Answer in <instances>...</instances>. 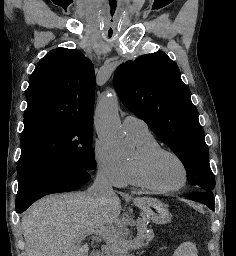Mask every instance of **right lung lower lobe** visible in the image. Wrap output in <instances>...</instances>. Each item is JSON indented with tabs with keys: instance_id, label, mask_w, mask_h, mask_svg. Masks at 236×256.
Here are the masks:
<instances>
[{
	"instance_id": "98d812e1",
	"label": "right lung lower lobe",
	"mask_w": 236,
	"mask_h": 256,
	"mask_svg": "<svg viewBox=\"0 0 236 256\" xmlns=\"http://www.w3.org/2000/svg\"><path fill=\"white\" fill-rule=\"evenodd\" d=\"M90 178L87 170L73 166L33 174L18 184L16 212H24L45 195L79 189Z\"/></svg>"
}]
</instances>
